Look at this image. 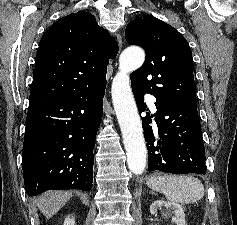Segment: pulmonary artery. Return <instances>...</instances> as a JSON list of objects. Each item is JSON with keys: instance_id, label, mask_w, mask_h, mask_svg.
Returning a JSON list of instances; mask_svg holds the SVG:
<instances>
[{"instance_id": "1", "label": "pulmonary artery", "mask_w": 237, "mask_h": 225, "mask_svg": "<svg viewBox=\"0 0 237 225\" xmlns=\"http://www.w3.org/2000/svg\"><path fill=\"white\" fill-rule=\"evenodd\" d=\"M149 105H150V107H151V109L153 110V111H155V105H154V103H153V99H151V98H149Z\"/></svg>"}]
</instances>
